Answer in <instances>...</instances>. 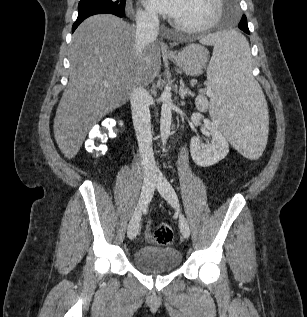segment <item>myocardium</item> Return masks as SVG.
Returning <instances> with one entry per match:
<instances>
[{"label": "myocardium", "instance_id": "f54148a6", "mask_svg": "<svg viewBox=\"0 0 307 317\" xmlns=\"http://www.w3.org/2000/svg\"><path fill=\"white\" fill-rule=\"evenodd\" d=\"M215 4V12L211 20L208 22L201 24V25H195V26H187L183 25L181 23L176 22L175 20L172 21L173 26L185 33L188 34H198V33H203L205 31L210 30L213 28L218 21L220 20L222 13H223V2L222 0H213Z\"/></svg>", "mask_w": 307, "mask_h": 317}]
</instances>
